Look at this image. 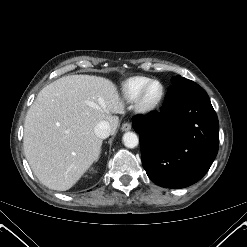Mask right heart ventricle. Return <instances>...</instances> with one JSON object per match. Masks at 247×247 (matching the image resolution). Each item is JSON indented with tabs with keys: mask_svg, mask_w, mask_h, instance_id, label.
<instances>
[{
	"mask_svg": "<svg viewBox=\"0 0 247 247\" xmlns=\"http://www.w3.org/2000/svg\"><path fill=\"white\" fill-rule=\"evenodd\" d=\"M151 80V78L145 76H134L127 79L121 85L123 97L128 101H134L143 86Z\"/></svg>",
	"mask_w": 247,
	"mask_h": 247,
	"instance_id": "right-heart-ventricle-1",
	"label": "right heart ventricle"
}]
</instances>
